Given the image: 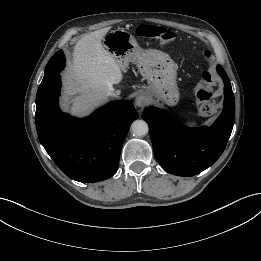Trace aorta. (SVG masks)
<instances>
[{
  "instance_id": "1",
  "label": "aorta",
  "mask_w": 261,
  "mask_h": 261,
  "mask_svg": "<svg viewBox=\"0 0 261 261\" xmlns=\"http://www.w3.org/2000/svg\"><path fill=\"white\" fill-rule=\"evenodd\" d=\"M148 130V124L144 120H135L131 125V132L134 136H144Z\"/></svg>"
}]
</instances>
